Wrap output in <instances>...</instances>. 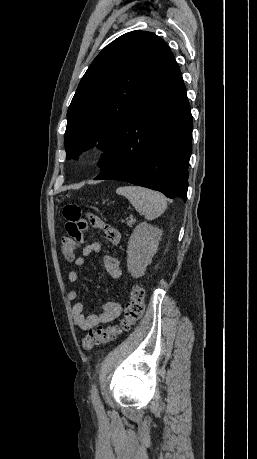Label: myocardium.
<instances>
[{"label":"myocardium","mask_w":257,"mask_h":459,"mask_svg":"<svg viewBox=\"0 0 257 459\" xmlns=\"http://www.w3.org/2000/svg\"><path fill=\"white\" fill-rule=\"evenodd\" d=\"M104 154V150L101 147H89L85 149L81 156L86 161H93L100 158Z\"/></svg>","instance_id":"obj_1"}]
</instances>
